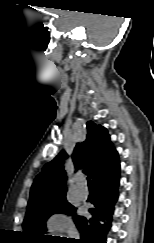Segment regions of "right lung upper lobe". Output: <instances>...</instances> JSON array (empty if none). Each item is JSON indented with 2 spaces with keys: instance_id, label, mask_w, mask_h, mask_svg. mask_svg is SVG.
Instances as JSON below:
<instances>
[{
  "instance_id": "1",
  "label": "right lung upper lobe",
  "mask_w": 154,
  "mask_h": 243,
  "mask_svg": "<svg viewBox=\"0 0 154 243\" xmlns=\"http://www.w3.org/2000/svg\"><path fill=\"white\" fill-rule=\"evenodd\" d=\"M86 126L87 139L76 145L72 159L75 169L84 168L94 182L114 171L119 166V157L103 126L92 121ZM66 158L68 155L62 150L45 164L33 182L27 209L65 197L67 176L63 163Z\"/></svg>"
}]
</instances>
